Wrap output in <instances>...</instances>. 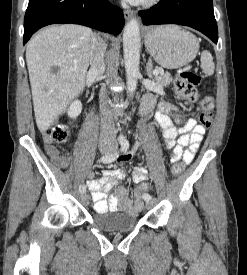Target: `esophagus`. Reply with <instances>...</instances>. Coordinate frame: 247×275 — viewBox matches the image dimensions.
<instances>
[{
	"label": "esophagus",
	"mask_w": 247,
	"mask_h": 275,
	"mask_svg": "<svg viewBox=\"0 0 247 275\" xmlns=\"http://www.w3.org/2000/svg\"><path fill=\"white\" fill-rule=\"evenodd\" d=\"M124 16L126 19H130L135 16V12L133 10H125Z\"/></svg>",
	"instance_id": "34e87169"
}]
</instances>
